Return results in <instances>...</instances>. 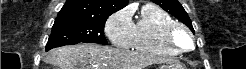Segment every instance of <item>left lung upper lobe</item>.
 I'll use <instances>...</instances> for the list:
<instances>
[{"label":"left lung upper lobe","instance_id":"1","mask_svg":"<svg viewBox=\"0 0 246 69\" xmlns=\"http://www.w3.org/2000/svg\"><path fill=\"white\" fill-rule=\"evenodd\" d=\"M152 1L157 5H159L161 8H163L165 11H167L169 14L173 15L178 20L186 24L194 33L192 22L188 14L182 7V5L178 2V0H152Z\"/></svg>","mask_w":246,"mask_h":69}]
</instances>
